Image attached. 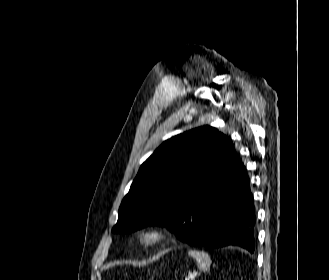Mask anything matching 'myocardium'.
Instances as JSON below:
<instances>
[{"mask_svg": "<svg viewBox=\"0 0 329 280\" xmlns=\"http://www.w3.org/2000/svg\"><path fill=\"white\" fill-rule=\"evenodd\" d=\"M167 231L161 225H148L139 228L135 233L138 247L149 249L163 244L167 239Z\"/></svg>", "mask_w": 329, "mask_h": 280, "instance_id": "obj_1", "label": "myocardium"}]
</instances>
